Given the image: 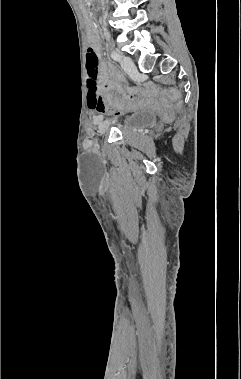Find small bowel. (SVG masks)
<instances>
[{"label": "small bowel", "mask_w": 241, "mask_h": 379, "mask_svg": "<svg viewBox=\"0 0 241 379\" xmlns=\"http://www.w3.org/2000/svg\"><path fill=\"white\" fill-rule=\"evenodd\" d=\"M90 41L93 45L94 49L98 48V40L94 35L90 36ZM101 87V89H99ZM108 87H114L115 88V82L113 80L112 74L110 73L109 69L105 65L100 66V85L99 83H88L87 88V94L86 95V108L87 110H92V114L96 115L95 118L98 119L99 115H105L106 114V101L102 100V92L105 93ZM124 108H126V105H124ZM118 117H122V110H111V120L117 121Z\"/></svg>", "instance_id": "1"}]
</instances>
